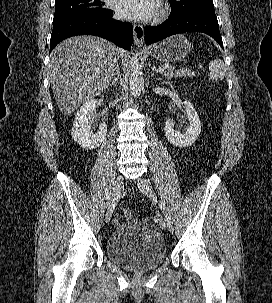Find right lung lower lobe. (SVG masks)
Masks as SVG:
<instances>
[{
	"label": "right lung lower lobe",
	"mask_w": 272,
	"mask_h": 303,
	"mask_svg": "<svg viewBox=\"0 0 272 303\" xmlns=\"http://www.w3.org/2000/svg\"><path fill=\"white\" fill-rule=\"evenodd\" d=\"M112 15V10L103 14L81 13L53 21L50 51L62 40L82 34L99 36L130 50L133 41L132 25L114 20Z\"/></svg>",
	"instance_id": "obj_1"
}]
</instances>
